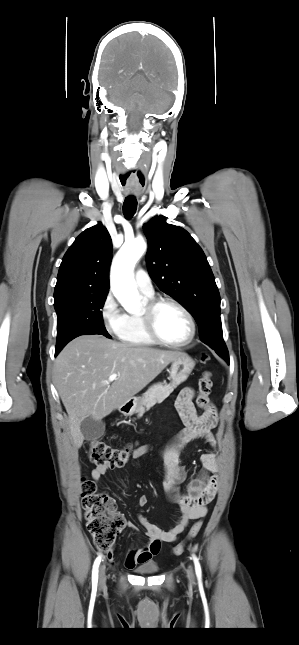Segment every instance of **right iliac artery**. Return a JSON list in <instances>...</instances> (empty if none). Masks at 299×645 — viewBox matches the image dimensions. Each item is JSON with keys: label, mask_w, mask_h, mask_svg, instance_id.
I'll use <instances>...</instances> for the list:
<instances>
[{"label": "right iliac artery", "mask_w": 299, "mask_h": 645, "mask_svg": "<svg viewBox=\"0 0 299 645\" xmlns=\"http://www.w3.org/2000/svg\"><path fill=\"white\" fill-rule=\"evenodd\" d=\"M101 562V556H98L96 560L94 561L93 564V569H92V584L94 587H96L97 582H98V567Z\"/></svg>", "instance_id": "right-iliac-artery-1"}]
</instances>
